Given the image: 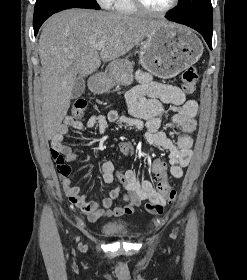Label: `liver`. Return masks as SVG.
<instances>
[{
	"mask_svg": "<svg viewBox=\"0 0 247 280\" xmlns=\"http://www.w3.org/2000/svg\"><path fill=\"white\" fill-rule=\"evenodd\" d=\"M167 25L171 23L91 9H70L50 17L38 46L46 136L51 138L59 129L79 76L96 71L101 60L115 61ZM99 43L104 45L100 53L95 47Z\"/></svg>",
	"mask_w": 247,
	"mask_h": 280,
	"instance_id": "obj_1",
	"label": "liver"
}]
</instances>
